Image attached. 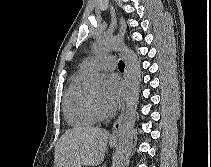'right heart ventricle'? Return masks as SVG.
Listing matches in <instances>:
<instances>
[{"instance_id":"right-heart-ventricle-1","label":"right heart ventricle","mask_w":211,"mask_h":167,"mask_svg":"<svg viewBox=\"0 0 211 167\" xmlns=\"http://www.w3.org/2000/svg\"><path fill=\"white\" fill-rule=\"evenodd\" d=\"M89 74L90 71L81 66L72 77L64 96V116L72 126L86 127L96 122V117L89 106V93L84 87V82Z\"/></svg>"}]
</instances>
